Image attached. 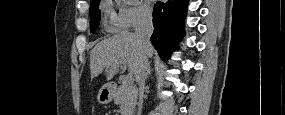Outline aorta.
Masks as SVG:
<instances>
[{
	"mask_svg": "<svg viewBox=\"0 0 285 115\" xmlns=\"http://www.w3.org/2000/svg\"><path fill=\"white\" fill-rule=\"evenodd\" d=\"M125 2L127 4H133V3L137 2V0H125Z\"/></svg>",
	"mask_w": 285,
	"mask_h": 115,
	"instance_id": "1",
	"label": "aorta"
}]
</instances>
